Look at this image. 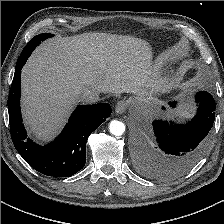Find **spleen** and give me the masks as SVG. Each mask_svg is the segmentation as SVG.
<instances>
[{"label": "spleen", "instance_id": "1", "mask_svg": "<svg viewBox=\"0 0 224 224\" xmlns=\"http://www.w3.org/2000/svg\"><path fill=\"white\" fill-rule=\"evenodd\" d=\"M181 115H182V116H188V115H189V111H187V110H183V111L181 112Z\"/></svg>", "mask_w": 224, "mask_h": 224}]
</instances>
